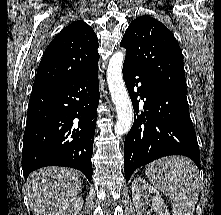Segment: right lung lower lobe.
<instances>
[{"mask_svg": "<svg viewBox=\"0 0 221 215\" xmlns=\"http://www.w3.org/2000/svg\"><path fill=\"white\" fill-rule=\"evenodd\" d=\"M98 63L54 87L32 92L23 137L24 177L41 167L80 170L91 182Z\"/></svg>", "mask_w": 221, "mask_h": 215, "instance_id": "right-lung-lower-lobe-1", "label": "right lung lower lobe"}]
</instances>
